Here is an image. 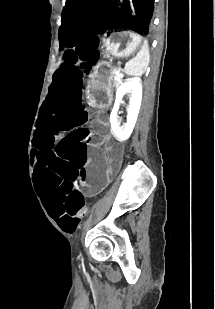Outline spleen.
Here are the masks:
<instances>
[{"instance_id":"1","label":"spleen","mask_w":215,"mask_h":309,"mask_svg":"<svg viewBox=\"0 0 215 309\" xmlns=\"http://www.w3.org/2000/svg\"><path fill=\"white\" fill-rule=\"evenodd\" d=\"M150 60L149 46L147 40H144L141 50L137 52L134 58H130L125 64L124 72L131 76H141L144 74Z\"/></svg>"}]
</instances>
